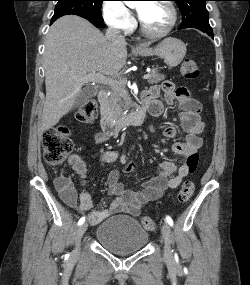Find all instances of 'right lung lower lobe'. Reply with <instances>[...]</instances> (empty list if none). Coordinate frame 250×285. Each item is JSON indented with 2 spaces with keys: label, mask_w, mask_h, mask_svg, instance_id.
Segmentation results:
<instances>
[{
  "label": "right lung lower lobe",
  "mask_w": 250,
  "mask_h": 285,
  "mask_svg": "<svg viewBox=\"0 0 250 285\" xmlns=\"http://www.w3.org/2000/svg\"><path fill=\"white\" fill-rule=\"evenodd\" d=\"M54 21H51V23H53ZM94 26H96L97 28H103L105 25L104 23H97L94 21H90Z\"/></svg>",
  "instance_id": "right-lung-lower-lobe-1"
}]
</instances>
